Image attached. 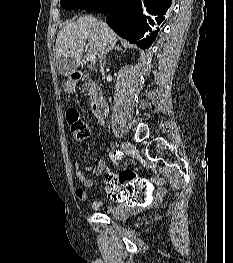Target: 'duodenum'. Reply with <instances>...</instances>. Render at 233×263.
<instances>
[{
  "label": "duodenum",
  "mask_w": 233,
  "mask_h": 263,
  "mask_svg": "<svg viewBox=\"0 0 233 263\" xmlns=\"http://www.w3.org/2000/svg\"><path fill=\"white\" fill-rule=\"evenodd\" d=\"M83 76L82 71H77L72 75L73 81H79ZM104 94L97 86H90L88 98L92 100V112L97 118H104L108 113V104L103 99Z\"/></svg>",
  "instance_id": "410a0bca"
}]
</instances>
